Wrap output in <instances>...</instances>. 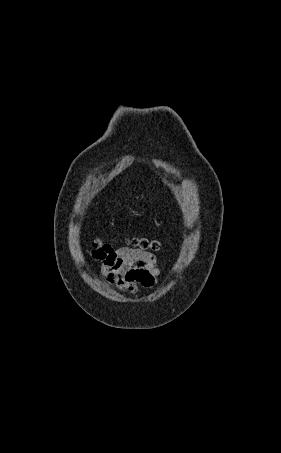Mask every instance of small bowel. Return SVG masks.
Segmentation results:
<instances>
[{"instance_id":"obj_1","label":"small bowel","mask_w":281,"mask_h":453,"mask_svg":"<svg viewBox=\"0 0 281 453\" xmlns=\"http://www.w3.org/2000/svg\"><path fill=\"white\" fill-rule=\"evenodd\" d=\"M102 255L98 269L102 279L127 294L154 287L162 274L156 256L150 252L117 247L103 251Z\"/></svg>"}]
</instances>
